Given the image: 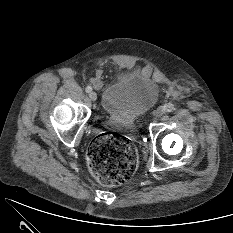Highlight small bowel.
I'll return each mask as SVG.
<instances>
[{
  "label": "small bowel",
  "mask_w": 233,
  "mask_h": 233,
  "mask_svg": "<svg viewBox=\"0 0 233 233\" xmlns=\"http://www.w3.org/2000/svg\"><path fill=\"white\" fill-rule=\"evenodd\" d=\"M93 83H94L96 86H98V85H99V80H98V79H94V80H93Z\"/></svg>",
  "instance_id": "small-bowel-1"
}]
</instances>
